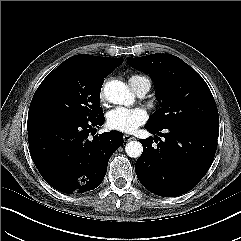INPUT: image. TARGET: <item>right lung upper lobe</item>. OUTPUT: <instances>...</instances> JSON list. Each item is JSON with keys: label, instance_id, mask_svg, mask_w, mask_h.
<instances>
[{"label": "right lung upper lobe", "instance_id": "right-lung-upper-lobe-1", "mask_svg": "<svg viewBox=\"0 0 241 241\" xmlns=\"http://www.w3.org/2000/svg\"><path fill=\"white\" fill-rule=\"evenodd\" d=\"M68 60L76 65L80 74L103 80L115 67L123 63V60L119 58L99 57L89 54L75 55Z\"/></svg>", "mask_w": 241, "mask_h": 241}]
</instances>
